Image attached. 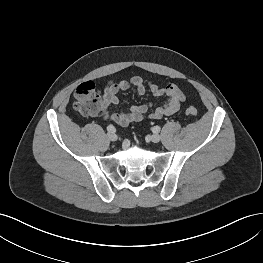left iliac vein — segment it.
<instances>
[{"mask_svg":"<svg viewBox=\"0 0 263 263\" xmlns=\"http://www.w3.org/2000/svg\"><path fill=\"white\" fill-rule=\"evenodd\" d=\"M151 141L154 143H158L161 140V137L159 134H153L150 137Z\"/></svg>","mask_w":263,"mask_h":263,"instance_id":"4c4485c4","label":"left iliac vein"}]
</instances>
